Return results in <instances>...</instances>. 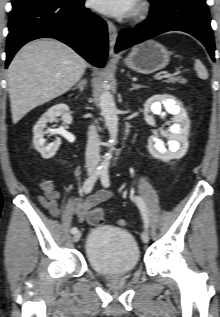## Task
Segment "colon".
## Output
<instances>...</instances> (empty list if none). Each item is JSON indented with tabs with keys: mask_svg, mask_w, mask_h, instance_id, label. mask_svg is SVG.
<instances>
[{
	"mask_svg": "<svg viewBox=\"0 0 220 317\" xmlns=\"http://www.w3.org/2000/svg\"><path fill=\"white\" fill-rule=\"evenodd\" d=\"M87 220L90 225L97 226L102 224L104 220L103 210L101 208L92 209L87 216ZM124 223V222H122Z\"/></svg>",
	"mask_w": 220,
	"mask_h": 317,
	"instance_id": "5ec220e1",
	"label": "colon"
}]
</instances>
